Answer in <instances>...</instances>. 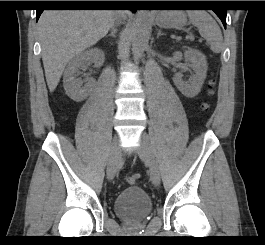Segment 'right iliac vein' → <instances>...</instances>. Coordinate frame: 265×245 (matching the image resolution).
I'll return each instance as SVG.
<instances>
[{
    "mask_svg": "<svg viewBox=\"0 0 265 245\" xmlns=\"http://www.w3.org/2000/svg\"><path fill=\"white\" fill-rule=\"evenodd\" d=\"M119 154V140L118 137H114L107 164V176L109 179H113L118 170Z\"/></svg>",
    "mask_w": 265,
    "mask_h": 245,
    "instance_id": "right-iliac-vein-1",
    "label": "right iliac vein"
}]
</instances>
